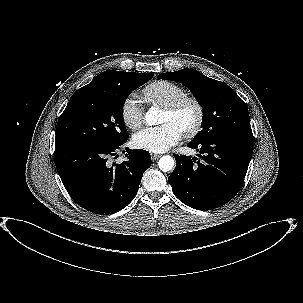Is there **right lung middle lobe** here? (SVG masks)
I'll list each match as a JSON object with an SVG mask.
<instances>
[{
  "label": "right lung middle lobe",
  "mask_w": 303,
  "mask_h": 303,
  "mask_svg": "<svg viewBox=\"0 0 303 303\" xmlns=\"http://www.w3.org/2000/svg\"><path fill=\"white\" fill-rule=\"evenodd\" d=\"M153 76L132 72L124 77H103L78 89L58 120L55 146L72 143L106 146L126 141L124 102Z\"/></svg>",
  "instance_id": "right-lung-middle-lobe-1"
}]
</instances>
